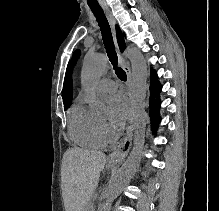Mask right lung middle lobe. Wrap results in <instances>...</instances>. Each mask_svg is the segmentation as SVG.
<instances>
[{"instance_id":"right-lung-middle-lobe-1","label":"right lung middle lobe","mask_w":219,"mask_h":211,"mask_svg":"<svg viewBox=\"0 0 219 211\" xmlns=\"http://www.w3.org/2000/svg\"><path fill=\"white\" fill-rule=\"evenodd\" d=\"M70 105L64 106V109L66 110Z\"/></svg>"}]
</instances>
